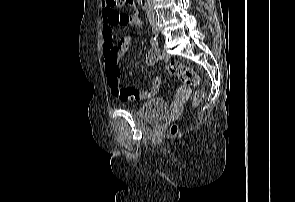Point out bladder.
<instances>
[{
  "mask_svg": "<svg viewBox=\"0 0 295 202\" xmlns=\"http://www.w3.org/2000/svg\"><path fill=\"white\" fill-rule=\"evenodd\" d=\"M168 112V103L163 99L154 98L142 104L136 114L144 121L156 122L164 118Z\"/></svg>",
  "mask_w": 295,
  "mask_h": 202,
  "instance_id": "1",
  "label": "bladder"
}]
</instances>
